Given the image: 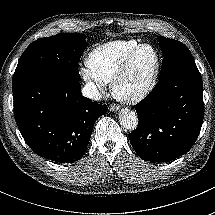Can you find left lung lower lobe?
I'll return each instance as SVG.
<instances>
[{"instance_id":"1","label":"left lung lower lobe","mask_w":215,"mask_h":215,"mask_svg":"<svg viewBox=\"0 0 215 215\" xmlns=\"http://www.w3.org/2000/svg\"><path fill=\"white\" fill-rule=\"evenodd\" d=\"M134 108L139 121L130 143L143 160L168 162L187 153L204 117L198 68L188 66L162 78Z\"/></svg>"}]
</instances>
